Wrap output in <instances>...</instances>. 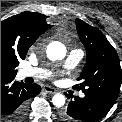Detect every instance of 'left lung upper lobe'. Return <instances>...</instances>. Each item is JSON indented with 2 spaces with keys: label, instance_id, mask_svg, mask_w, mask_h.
I'll use <instances>...</instances> for the list:
<instances>
[{
  "label": "left lung upper lobe",
  "instance_id": "obj_1",
  "mask_svg": "<svg viewBox=\"0 0 122 122\" xmlns=\"http://www.w3.org/2000/svg\"><path fill=\"white\" fill-rule=\"evenodd\" d=\"M77 32L87 52V61L76 85L84 93L101 95L116 101L122 82L119 57L101 31L76 19Z\"/></svg>",
  "mask_w": 122,
  "mask_h": 122
}]
</instances>
